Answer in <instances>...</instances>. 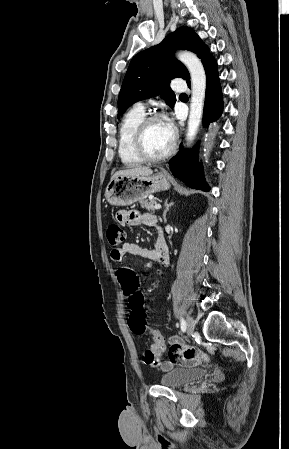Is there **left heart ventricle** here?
I'll return each mask as SVG.
<instances>
[{"mask_svg":"<svg viewBox=\"0 0 289 449\" xmlns=\"http://www.w3.org/2000/svg\"><path fill=\"white\" fill-rule=\"evenodd\" d=\"M173 132L164 121L152 123L145 134V147L149 154L159 156L164 154L171 146Z\"/></svg>","mask_w":289,"mask_h":449,"instance_id":"left-heart-ventricle-1","label":"left heart ventricle"}]
</instances>
